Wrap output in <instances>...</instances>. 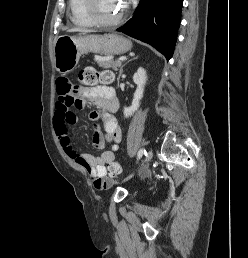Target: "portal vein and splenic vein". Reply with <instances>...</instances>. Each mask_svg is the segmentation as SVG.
I'll use <instances>...</instances> for the list:
<instances>
[{
	"instance_id": "portal-vein-and-splenic-vein-1",
	"label": "portal vein and splenic vein",
	"mask_w": 248,
	"mask_h": 258,
	"mask_svg": "<svg viewBox=\"0 0 248 258\" xmlns=\"http://www.w3.org/2000/svg\"><path fill=\"white\" fill-rule=\"evenodd\" d=\"M127 58L125 57V56H122V57H120L118 60L119 61H124V60H126Z\"/></svg>"
}]
</instances>
